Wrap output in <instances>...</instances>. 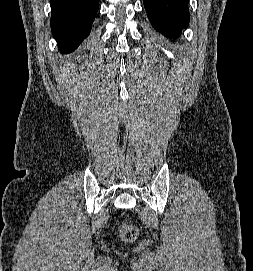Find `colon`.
<instances>
[{"label":"colon","instance_id":"1","mask_svg":"<svg viewBox=\"0 0 253 271\" xmlns=\"http://www.w3.org/2000/svg\"><path fill=\"white\" fill-rule=\"evenodd\" d=\"M138 234L139 230L136 226L127 222L123 223L120 231V235L123 241L132 242L138 237Z\"/></svg>","mask_w":253,"mask_h":271}]
</instances>
